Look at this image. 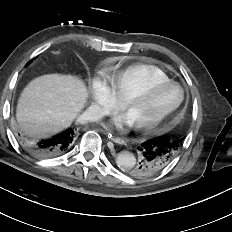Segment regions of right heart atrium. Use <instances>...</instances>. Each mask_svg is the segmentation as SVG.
I'll list each match as a JSON object with an SVG mask.
<instances>
[{
	"label": "right heart atrium",
	"instance_id": "right-heart-atrium-1",
	"mask_svg": "<svg viewBox=\"0 0 232 232\" xmlns=\"http://www.w3.org/2000/svg\"><path fill=\"white\" fill-rule=\"evenodd\" d=\"M90 116L99 119L112 114L122 107V102L115 96L104 74L95 77L90 88Z\"/></svg>",
	"mask_w": 232,
	"mask_h": 232
}]
</instances>
